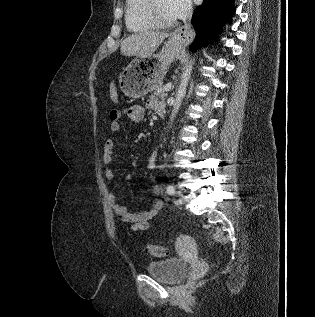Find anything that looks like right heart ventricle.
Returning <instances> with one entry per match:
<instances>
[{"instance_id": "right-heart-ventricle-1", "label": "right heart ventricle", "mask_w": 315, "mask_h": 317, "mask_svg": "<svg viewBox=\"0 0 315 317\" xmlns=\"http://www.w3.org/2000/svg\"><path fill=\"white\" fill-rule=\"evenodd\" d=\"M147 2L148 0H126L125 24L129 31L140 33L154 28L147 16Z\"/></svg>"}]
</instances>
